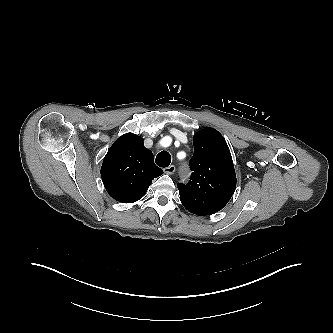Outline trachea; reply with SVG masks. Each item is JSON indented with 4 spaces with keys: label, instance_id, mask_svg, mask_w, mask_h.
Wrapping results in <instances>:
<instances>
[{
    "label": "trachea",
    "instance_id": "1",
    "mask_svg": "<svg viewBox=\"0 0 333 333\" xmlns=\"http://www.w3.org/2000/svg\"><path fill=\"white\" fill-rule=\"evenodd\" d=\"M171 163V156L167 151H162L156 156V164L162 168H166Z\"/></svg>",
    "mask_w": 333,
    "mask_h": 333
}]
</instances>
